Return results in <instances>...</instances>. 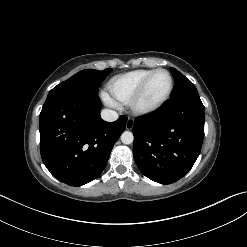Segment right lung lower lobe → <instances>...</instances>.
<instances>
[{
	"instance_id": "98d812e1",
	"label": "right lung lower lobe",
	"mask_w": 247,
	"mask_h": 247,
	"mask_svg": "<svg viewBox=\"0 0 247 247\" xmlns=\"http://www.w3.org/2000/svg\"><path fill=\"white\" fill-rule=\"evenodd\" d=\"M97 95L55 94L40 113V152L51 174L63 183L81 186L97 178L113 145L125 130L126 117L105 122Z\"/></svg>"
}]
</instances>
